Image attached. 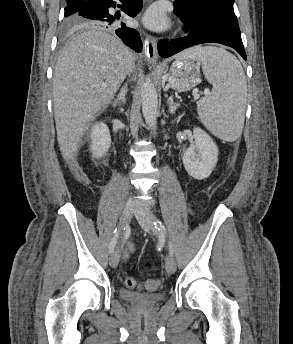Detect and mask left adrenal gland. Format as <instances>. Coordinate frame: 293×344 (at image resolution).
<instances>
[{
	"label": "left adrenal gland",
	"instance_id": "1",
	"mask_svg": "<svg viewBox=\"0 0 293 344\" xmlns=\"http://www.w3.org/2000/svg\"><path fill=\"white\" fill-rule=\"evenodd\" d=\"M167 102L169 106V112L173 115L176 112L177 108L180 106V104L175 103L173 101V96H170Z\"/></svg>",
	"mask_w": 293,
	"mask_h": 344
}]
</instances>
